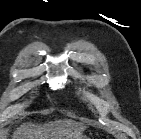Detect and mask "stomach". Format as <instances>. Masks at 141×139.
<instances>
[{
  "label": "stomach",
  "mask_w": 141,
  "mask_h": 139,
  "mask_svg": "<svg viewBox=\"0 0 141 139\" xmlns=\"http://www.w3.org/2000/svg\"><path fill=\"white\" fill-rule=\"evenodd\" d=\"M81 139H88V138H86V137H82Z\"/></svg>",
  "instance_id": "obj_1"
}]
</instances>
